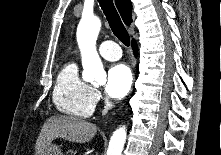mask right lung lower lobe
Returning <instances> with one entry per match:
<instances>
[{
    "label": "right lung lower lobe",
    "instance_id": "1",
    "mask_svg": "<svg viewBox=\"0 0 221 155\" xmlns=\"http://www.w3.org/2000/svg\"><path fill=\"white\" fill-rule=\"evenodd\" d=\"M132 48L134 50L135 55H137V45H136V42L134 40L132 41Z\"/></svg>",
    "mask_w": 221,
    "mask_h": 155
}]
</instances>
